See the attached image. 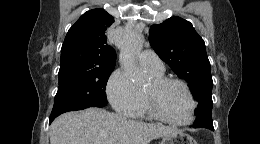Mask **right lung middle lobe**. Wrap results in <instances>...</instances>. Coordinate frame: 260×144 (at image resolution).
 <instances>
[{"label": "right lung middle lobe", "instance_id": "right-lung-middle-lobe-1", "mask_svg": "<svg viewBox=\"0 0 260 144\" xmlns=\"http://www.w3.org/2000/svg\"><path fill=\"white\" fill-rule=\"evenodd\" d=\"M113 69L59 70V88L50 118L67 111L106 106L105 87Z\"/></svg>", "mask_w": 260, "mask_h": 144}]
</instances>
